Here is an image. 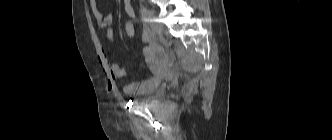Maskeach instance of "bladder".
I'll use <instances>...</instances> for the list:
<instances>
[{
  "mask_svg": "<svg viewBox=\"0 0 332 140\" xmlns=\"http://www.w3.org/2000/svg\"><path fill=\"white\" fill-rule=\"evenodd\" d=\"M147 81L149 82L147 89L134 97L135 102L149 103L158 95L161 86V80L159 78H154Z\"/></svg>",
  "mask_w": 332,
  "mask_h": 140,
  "instance_id": "bladder-1",
  "label": "bladder"
}]
</instances>
